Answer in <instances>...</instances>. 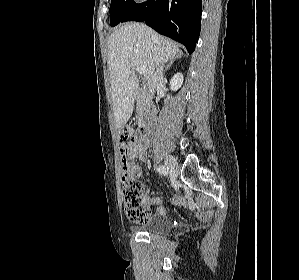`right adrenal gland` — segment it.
I'll list each match as a JSON object with an SVG mask.
<instances>
[{
	"instance_id": "obj_1",
	"label": "right adrenal gland",
	"mask_w": 299,
	"mask_h": 280,
	"mask_svg": "<svg viewBox=\"0 0 299 280\" xmlns=\"http://www.w3.org/2000/svg\"><path fill=\"white\" fill-rule=\"evenodd\" d=\"M180 57H181V53L177 57H175L174 59L170 60V62L168 63V65L166 67V70L169 69V67L173 64V62L175 61V59H178Z\"/></svg>"
}]
</instances>
